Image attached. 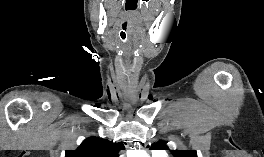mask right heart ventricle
<instances>
[{
    "label": "right heart ventricle",
    "instance_id": "e07e8e85",
    "mask_svg": "<svg viewBox=\"0 0 264 157\" xmlns=\"http://www.w3.org/2000/svg\"><path fill=\"white\" fill-rule=\"evenodd\" d=\"M153 157H168L163 153H154Z\"/></svg>",
    "mask_w": 264,
    "mask_h": 157
}]
</instances>
